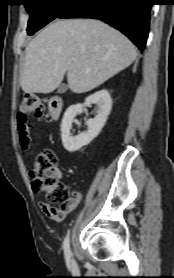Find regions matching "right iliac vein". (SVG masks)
Instances as JSON below:
<instances>
[{
    "label": "right iliac vein",
    "mask_w": 174,
    "mask_h": 278,
    "mask_svg": "<svg viewBox=\"0 0 174 278\" xmlns=\"http://www.w3.org/2000/svg\"><path fill=\"white\" fill-rule=\"evenodd\" d=\"M72 266H75V262H74V260H72Z\"/></svg>",
    "instance_id": "63e3f726"
}]
</instances>
